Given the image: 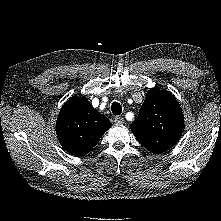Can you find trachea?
<instances>
[{
	"mask_svg": "<svg viewBox=\"0 0 221 221\" xmlns=\"http://www.w3.org/2000/svg\"><path fill=\"white\" fill-rule=\"evenodd\" d=\"M111 110L114 115H120L122 113V106L118 102H113L111 105Z\"/></svg>",
	"mask_w": 221,
	"mask_h": 221,
	"instance_id": "obj_1",
	"label": "trachea"
}]
</instances>
